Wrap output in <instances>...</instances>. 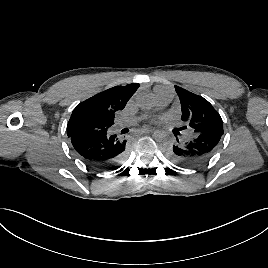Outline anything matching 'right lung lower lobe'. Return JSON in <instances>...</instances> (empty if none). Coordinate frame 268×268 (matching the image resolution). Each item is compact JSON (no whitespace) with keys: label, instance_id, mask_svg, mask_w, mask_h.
Returning <instances> with one entry per match:
<instances>
[{"label":"right lung lower lobe","instance_id":"right-lung-lower-lobe-1","mask_svg":"<svg viewBox=\"0 0 268 268\" xmlns=\"http://www.w3.org/2000/svg\"><path fill=\"white\" fill-rule=\"evenodd\" d=\"M69 137L78 156L92 167L115 168L124 156L126 140L116 135H109L107 131L96 135H70Z\"/></svg>","mask_w":268,"mask_h":268}]
</instances>
